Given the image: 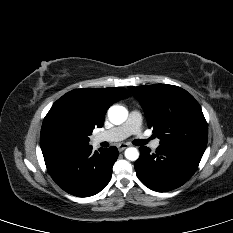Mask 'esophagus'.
Masks as SVG:
<instances>
[{
	"mask_svg": "<svg viewBox=\"0 0 233 233\" xmlns=\"http://www.w3.org/2000/svg\"><path fill=\"white\" fill-rule=\"evenodd\" d=\"M127 147H128L127 143H120L118 145V150L121 152V151L125 150Z\"/></svg>",
	"mask_w": 233,
	"mask_h": 233,
	"instance_id": "34e87169",
	"label": "esophagus"
}]
</instances>
